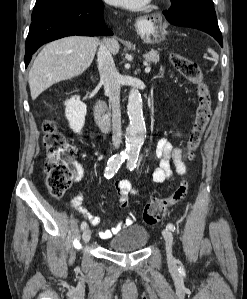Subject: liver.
Instances as JSON below:
<instances>
[{
  "label": "liver",
  "mask_w": 247,
  "mask_h": 299,
  "mask_svg": "<svg viewBox=\"0 0 247 299\" xmlns=\"http://www.w3.org/2000/svg\"><path fill=\"white\" fill-rule=\"evenodd\" d=\"M98 44L97 37L70 36L45 45L28 75L32 99L53 84L82 74L91 65ZM105 44L113 54L118 53L117 40L107 39Z\"/></svg>",
  "instance_id": "liver-1"
}]
</instances>
